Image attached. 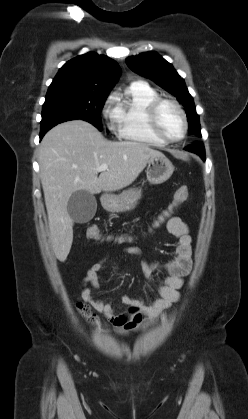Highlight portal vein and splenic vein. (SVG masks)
<instances>
[{"mask_svg":"<svg viewBox=\"0 0 248 419\" xmlns=\"http://www.w3.org/2000/svg\"><path fill=\"white\" fill-rule=\"evenodd\" d=\"M95 170L98 171V172L108 170V165L107 164H101Z\"/></svg>","mask_w":248,"mask_h":419,"instance_id":"obj_1","label":"portal vein and splenic vein"}]
</instances>
